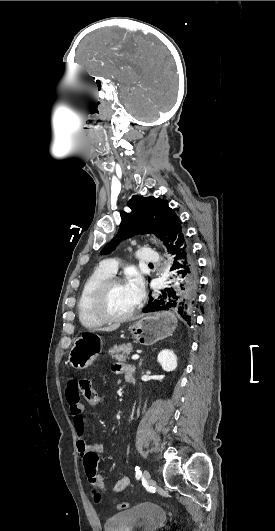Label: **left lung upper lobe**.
I'll return each instance as SVG.
<instances>
[{
    "label": "left lung upper lobe",
    "mask_w": 275,
    "mask_h": 531,
    "mask_svg": "<svg viewBox=\"0 0 275 531\" xmlns=\"http://www.w3.org/2000/svg\"><path fill=\"white\" fill-rule=\"evenodd\" d=\"M127 205L131 212H121L122 221L118 235L102 250V253L111 252L120 238H129L135 234L153 233L167 244L170 234L180 223L173 209L160 198L133 196Z\"/></svg>",
    "instance_id": "obj_1"
}]
</instances>
